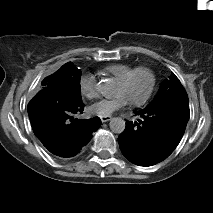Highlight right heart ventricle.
I'll return each instance as SVG.
<instances>
[{
  "label": "right heart ventricle",
  "mask_w": 213,
  "mask_h": 213,
  "mask_svg": "<svg viewBox=\"0 0 213 213\" xmlns=\"http://www.w3.org/2000/svg\"><path fill=\"white\" fill-rule=\"evenodd\" d=\"M137 69L130 65H118L115 68L111 69L110 72L113 73L117 78L124 80L129 77L132 72Z\"/></svg>",
  "instance_id": "1"
}]
</instances>
